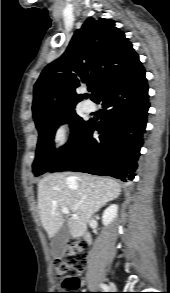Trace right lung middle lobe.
<instances>
[{"label":"right lung middle lobe","mask_w":170,"mask_h":293,"mask_svg":"<svg viewBox=\"0 0 170 293\" xmlns=\"http://www.w3.org/2000/svg\"><path fill=\"white\" fill-rule=\"evenodd\" d=\"M64 123L70 124L72 134L68 143L59 150H56L53 142L54 134L58 126ZM86 123L87 121L82 120V118L75 113L74 109H71L38 128L39 140L37 144L36 158L33 163V172L35 176H39L53 167V165L71 146Z\"/></svg>","instance_id":"1"}]
</instances>
